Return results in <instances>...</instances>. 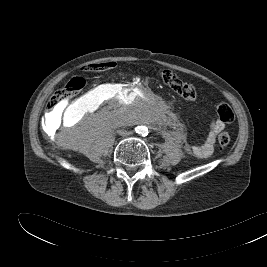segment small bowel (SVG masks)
Instances as JSON below:
<instances>
[{"instance_id":"1","label":"small bowel","mask_w":267,"mask_h":267,"mask_svg":"<svg viewBox=\"0 0 267 267\" xmlns=\"http://www.w3.org/2000/svg\"><path fill=\"white\" fill-rule=\"evenodd\" d=\"M69 110L72 111L74 109H72V107L66 108L64 106H59L53 111L52 114L55 118H63ZM224 127H225V122H223L219 118L214 119L210 124V129L205 141L201 145H196V146H191L189 144H186L185 145L186 150L200 158L209 157L213 153V147L216 140V136L220 131L224 129Z\"/></svg>"}]
</instances>
